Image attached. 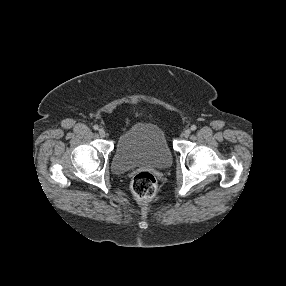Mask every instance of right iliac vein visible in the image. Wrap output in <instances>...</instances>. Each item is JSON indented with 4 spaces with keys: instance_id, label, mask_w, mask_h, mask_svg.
<instances>
[{
    "instance_id": "1",
    "label": "right iliac vein",
    "mask_w": 286,
    "mask_h": 286,
    "mask_svg": "<svg viewBox=\"0 0 286 286\" xmlns=\"http://www.w3.org/2000/svg\"><path fill=\"white\" fill-rule=\"evenodd\" d=\"M99 135H100V137H105L106 136V131H105V129H103V128H100L99 129Z\"/></svg>"
}]
</instances>
